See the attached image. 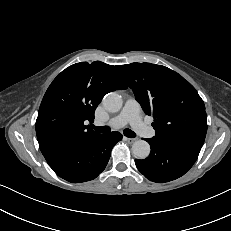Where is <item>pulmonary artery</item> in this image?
I'll list each match as a JSON object with an SVG mask.
<instances>
[{
  "label": "pulmonary artery",
  "instance_id": "1",
  "mask_svg": "<svg viewBox=\"0 0 231 231\" xmlns=\"http://www.w3.org/2000/svg\"><path fill=\"white\" fill-rule=\"evenodd\" d=\"M127 123L143 137L152 138L155 136V130L143 122L140 106L132 98L126 100L122 110L109 121V125L114 128L123 127Z\"/></svg>",
  "mask_w": 231,
  "mask_h": 231
}]
</instances>
